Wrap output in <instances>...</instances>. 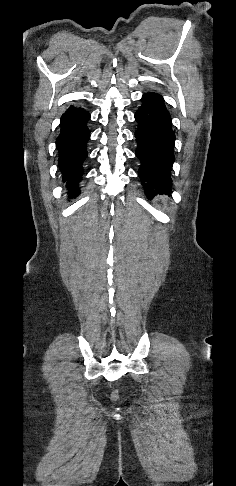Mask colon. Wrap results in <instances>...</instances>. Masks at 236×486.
I'll return each instance as SVG.
<instances>
[{
    "label": "colon",
    "instance_id": "5ec220e1",
    "mask_svg": "<svg viewBox=\"0 0 236 486\" xmlns=\"http://www.w3.org/2000/svg\"><path fill=\"white\" fill-rule=\"evenodd\" d=\"M112 398H113V399H115V400L118 398V391H117V390H115V391L113 392V394H112Z\"/></svg>",
    "mask_w": 236,
    "mask_h": 486
}]
</instances>
